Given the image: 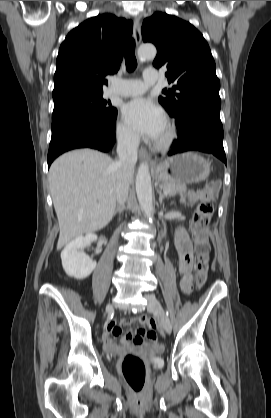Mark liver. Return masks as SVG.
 <instances>
[{"instance_id":"liver-1","label":"liver","mask_w":271,"mask_h":418,"mask_svg":"<svg viewBox=\"0 0 271 418\" xmlns=\"http://www.w3.org/2000/svg\"><path fill=\"white\" fill-rule=\"evenodd\" d=\"M115 163L92 149L65 153L52 163L48 180L60 228L58 250L84 233L102 229L113 218Z\"/></svg>"}]
</instances>
